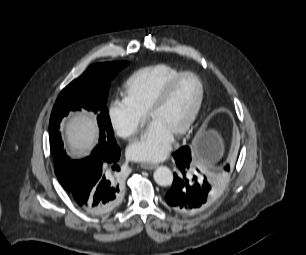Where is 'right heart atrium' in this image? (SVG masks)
Here are the masks:
<instances>
[{
	"label": "right heart atrium",
	"instance_id": "1",
	"mask_svg": "<svg viewBox=\"0 0 306 255\" xmlns=\"http://www.w3.org/2000/svg\"><path fill=\"white\" fill-rule=\"evenodd\" d=\"M107 114L112 130L121 138L130 139L141 129L143 115L124 99L113 100L108 106Z\"/></svg>",
	"mask_w": 306,
	"mask_h": 255
}]
</instances>
